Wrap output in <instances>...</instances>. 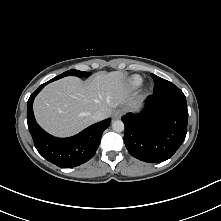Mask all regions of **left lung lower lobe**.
I'll list each match as a JSON object with an SVG mask.
<instances>
[{
    "label": "left lung lower lobe",
    "instance_id": "obj_1",
    "mask_svg": "<svg viewBox=\"0 0 221 221\" xmlns=\"http://www.w3.org/2000/svg\"><path fill=\"white\" fill-rule=\"evenodd\" d=\"M124 142L129 153L148 163L169 159L183 143L187 133L188 109L180 89L148 96L140 113H127Z\"/></svg>",
    "mask_w": 221,
    "mask_h": 221
}]
</instances>
